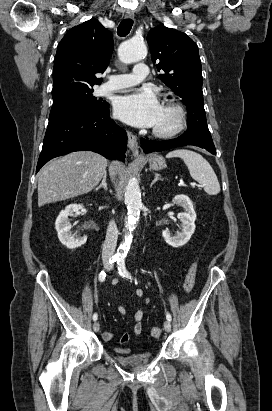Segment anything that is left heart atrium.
I'll list each match as a JSON object with an SVG mask.
<instances>
[{
    "instance_id": "39dd6f15",
    "label": "left heart atrium",
    "mask_w": 272,
    "mask_h": 411,
    "mask_svg": "<svg viewBox=\"0 0 272 411\" xmlns=\"http://www.w3.org/2000/svg\"><path fill=\"white\" fill-rule=\"evenodd\" d=\"M115 115L127 124L135 127L156 126L162 108L155 94L150 91H136L116 99Z\"/></svg>"
}]
</instances>
